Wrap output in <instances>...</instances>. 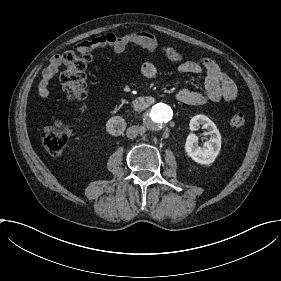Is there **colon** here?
Wrapping results in <instances>:
<instances>
[{"label": "colon", "mask_w": 281, "mask_h": 281, "mask_svg": "<svg viewBox=\"0 0 281 281\" xmlns=\"http://www.w3.org/2000/svg\"><path fill=\"white\" fill-rule=\"evenodd\" d=\"M104 37H95L78 44L74 50L63 54V61L67 69L60 75V81L66 98L72 102H84L89 95L88 76L86 73L89 64L98 54V50L110 48L105 45ZM247 123V117L236 112L231 117V124L242 128ZM74 126L70 120L61 118L48 126L42 133V141L51 157L61 155L74 135Z\"/></svg>", "instance_id": "5ec220e1"}]
</instances>
